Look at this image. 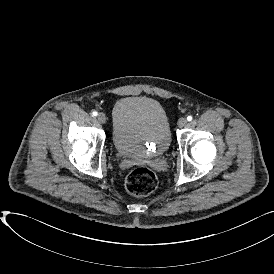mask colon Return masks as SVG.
Wrapping results in <instances>:
<instances>
[{
  "label": "colon",
  "mask_w": 274,
  "mask_h": 274,
  "mask_svg": "<svg viewBox=\"0 0 274 274\" xmlns=\"http://www.w3.org/2000/svg\"><path fill=\"white\" fill-rule=\"evenodd\" d=\"M126 189L134 196L144 197L152 193L158 184L155 173L147 168H137L126 178Z\"/></svg>",
  "instance_id": "colon-1"
}]
</instances>
